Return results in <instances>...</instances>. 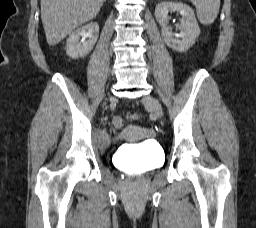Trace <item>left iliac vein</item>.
Returning <instances> with one entry per match:
<instances>
[{
    "label": "left iliac vein",
    "mask_w": 256,
    "mask_h": 228,
    "mask_svg": "<svg viewBox=\"0 0 256 228\" xmlns=\"http://www.w3.org/2000/svg\"><path fill=\"white\" fill-rule=\"evenodd\" d=\"M143 103L149 107L159 118L162 117L163 111L159 101L151 95H147L143 98Z\"/></svg>",
    "instance_id": "4c4485c4"
}]
</instances>
